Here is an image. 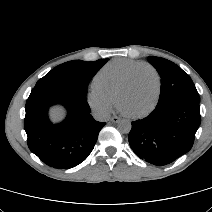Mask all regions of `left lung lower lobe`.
Wrapping results in <instances>:
<instances>
[{
	"instance_id": "obj_1",
	"label": "left lung lower lobe",
	"mask_w": 212,
	"mask_h": 212,
	"mask_svg": "<svg viewBox=\"0 0 212 212\" xmlns=\"http://www.w3.org/2000/svg\"><path fill=\"white\" fill-rule=\"evenodd\" d=\"M200 123L199 102L171 99L157 104L146 118L132 122L129 144L142 160L167 165L191 149Z\"/></svg>"
}]
</instances>
